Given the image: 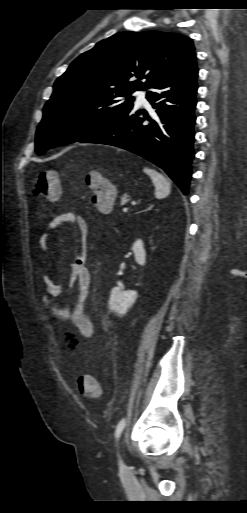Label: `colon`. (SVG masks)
Segmentation results:
<instances>
[{"mask_svg":"<svg viewBox=\"0 0 247 513\" xmlns=\"http://www.w3.org/2000/svg\"><path fill=\"white\" fill-rule=\"evenodd\" d=\"M87 192L93 197V202L100 211L109 210L116 199L114 187L108 183L101 174L93 173L87 178ZM62 181L54 170L41 171L33 185L32 193L35 197L56 201L61 196ZM78 390L87 397H98L102 388L100 383L92 376L81 375L76 379Z\"/></svg>","mask_w":247,"mask_h":513,"instance_id":"obj_1","label":"colon"}]
</instances>
